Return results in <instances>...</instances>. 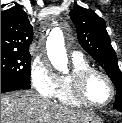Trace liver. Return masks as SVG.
<instances>
[{"label": "liver", "mask_w": 122, "mask_h": 123, "mask_svg": "<svg viewBox=\"0 0 122 123\" xmlns=\"http://www.w3.org/2000/svg\"><path fill=\"white\" fill-rule=\"evenodd\" d=\"M96 115L43 98L33 91L1 95V123H86Z\"/></svg>", "instance_id": "liver-1"}]
</instances>
